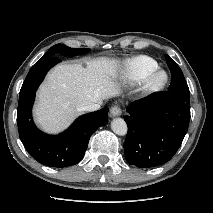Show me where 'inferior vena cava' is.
Segmentation results:
<instances>
[{
    "label": "inferior vena cava",
    "instance_id": "inferior-vena-cava-1",
    "mask_svg": "<svg viewBox=\"0 0 213 213\" xmlns=\"http://www.w3.org/2000/svg\"><path fill=\"white\" fill-rule=\"evenodd\" d=\"M101 104H102V101H101V100L98 101V102H89V103L83 105V106L81 107V109H82L83 111H89V112H90V111H96V110H99V109H100Z\"/></svg>",
    "mask_w": 213,
    "mask_h": 213
}]
</instances>
